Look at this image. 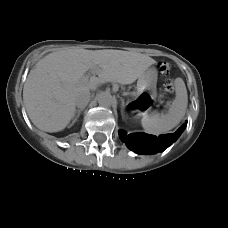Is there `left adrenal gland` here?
I'll list each match as a JSON object with an SVG mask.
<instances>
[{
    "label": "left adrenal gland",
    "mask_w": 228,
    "mask_h": 228,
    "mask_svg": "<svg viewBox=\"0 0 228 228\" xmlns=\"http://www.w3.org/2000/svg\"><path fill=\"white\" fill-rule=\"evenodd\" d=\"M124 107H125V104H124V101H122V112L124 111Z\"/></svg>",
    "instance_id": "1"
}]
</instances>
